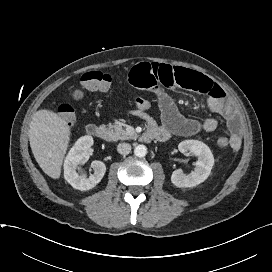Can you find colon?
I'll return each mask as SVG.
<instances>
[{
    "instance_id": "obj_1",
    "label": "colon",
    "mask_w": 272,
    "mask_h": 272,
    "mask_svg": "<svg viewBox=\"0 0 272 272\" xmlns=\"http://www.w3.org/2000/svg\"><path fill=\"white\" fill-rule=\"evenodd\" d=\"M111 76L100 71H89L81 77L82 87L92 94H100L109 90L111 87ZM136 108L141 110H148L151 108V102L145 98L138 97L134 101ZM58 112L62 119L72 124L75 120V110L68 104L63 103L60 105ZM217 145L221 148L229 146V139L225 136H220L217 139Z\"/></svg>"
}]
</instances>
